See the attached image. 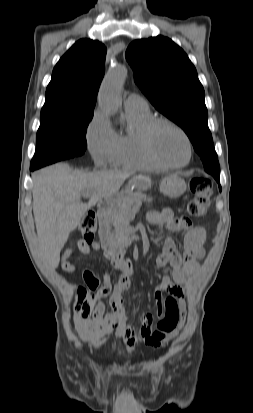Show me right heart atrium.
I'll return each instance as SVG.
<instances>
[{"label": "right heart atrium", "mask_w": 253, "mask_h": 413, "mask_svg": "<svg viewBox=\"0 0 253 413\" xmlns=\"http://www.w3.org/2000/svg\"><path fill=\"white\" fill-rule=\"evenodd\" d=\"M86 140L90 155L97 166H105L110 162L116 145V133L112 129L107 116L97 111L86 132Z\"/></svg>", "instance_id": "d8ad5b80"}]
</instances>
